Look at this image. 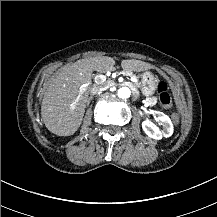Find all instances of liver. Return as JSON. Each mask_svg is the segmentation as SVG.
I'll list each match as a JSON object with an SVG mask.
<instances>
[{
  "instance_id": "1",
  "label": "liver",
  "mask_w": 217,
  "mask_h": 217,
  "mask_svg": "<svg viewBox=\"0 0 217 217\" xmlns=\"http://www.w3.org/2000/svg\"><path fill=\"white\" fill-rule=\"evenodd\" d=\"M115 60L108 56L81 59L57 71L44 94L41 117L46 128L58 136L73 135L81 125L92 72L113 71ZM125 71L141 72L154 66L141 60H122ZM80 94L78 102L73 106Z\"/></svg>"
}]
</instances>
